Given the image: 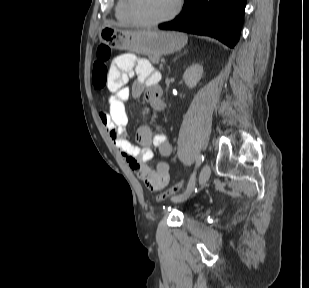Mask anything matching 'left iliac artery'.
Masks as SVG:
<instances>
[{
	"label": "left iliac artery",
	"instance_id": "left-iliac-artery-1",
	"mask_svg": "<svg viewBox=\"0 0 309 288\" xmlns=\"http://www.w3.org/2000/svg\"><path fill=\"white\" fill-rule=\"evenodd\" d=\"M204 161V156L203 155H200L197 159V162H196V166H195V171L193 172V174L191 175V178H190V181H189V184H188V187L186 190L190 191V192H193L194 188H195V174H196V170L198 169V167L201 165V163ZM185 194L182 193L178 196H175L172 198V201L174 200H178L180 199L181 196H183ZM192 194V193H191Z\"/></svg>",
	"mask_w": 309,
	"mask_h": 288
}]
</instances>
